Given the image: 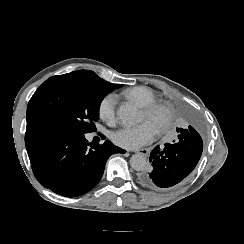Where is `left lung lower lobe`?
Returning <instances> with one entry per match:
<instances>
[{
	"mask_svg": "<svg viewBox=\"0 0 244 244\" xmlns=\"http://www.w3.org/2000/svg\"><path fill=\"white\" fill-rule=\"evenodd\" d=\"M201 127L196 118L187 115L178 139L156 146L150 154L153 168L142 171L138 178L149 189L171 188L187 177L197 165L203 150Z\"/></svg>",
	"mask_w": 244,
	"mask_h": 244,
	"instance_id": "obj_1",
	"label": "left lung lower lobe"
}]
</instances>
